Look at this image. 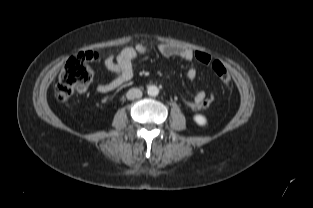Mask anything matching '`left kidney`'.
Wrapping results in <instances>:
<instances>
[{"label": "left kidney", "mask_w": 313, "mask_h": 208, "mask_svg": "<svg viewBox=\"0 0 313 208\" xmlns=\"http://www.w3.org/2000/svg\"><path fill=\"white\" fill-rule=\"evenodd\" d=\"M194 121L200 126L206 125V122H207L206 118L200 114H197L194 116Z\"/></svg>", "instance_id": "obj_1"}]
</instances>
